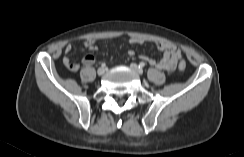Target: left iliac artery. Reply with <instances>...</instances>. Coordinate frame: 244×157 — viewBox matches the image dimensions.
<instances>
[{"label": "left iliac artery", "mask_w": 244, "mask_h": 157, "mask_svg": "<svg viewBox=\"0 0 244 157\" xmlns=\"http://www.w3.org/2000/svg\"><path fill=\"white\" fill-rule=\"evenodd\" d=\"M144 66H145V63H144V62H140V63H139V68L142 69Z\"/></svg>", "instance_id": "1"}]
</instances>
